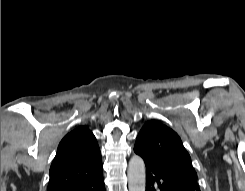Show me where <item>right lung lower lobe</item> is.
I'll list each match as a JSON object with an SVG mask.
<instances>
[{
	"label": "right lung lower lobe",
	"mask_w": 245,
	"mask_h": 191,
	"mask_svg": "<svg viewBox=\"0 0 245 191\" xmlns=\"http://www.w3.org/2000/svg\"><path fill=\"white\" fill-rule=\"evenodd\" d=\"M65 191H105L103 172L88 180L72 185L65 189Z\"/></svg>",
	"instance_id": "obj_1"
}]
</instances>
